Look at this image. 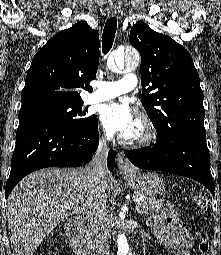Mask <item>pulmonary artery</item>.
<instances>
[{"label": "pulmonary artery", "instance_id": "pulmonary-artery-1", "mask_svg": "<svg viewBox=\"0 0 221 255\" xmlns=\"http://www.w3.org/2000/svg\"><path fill=\"white\" fill-rule=\"evenodd\" d=\"M136 85L137 77L133 73L125 74L118 81H99L95 84L97 90L89 96L87 102L98 103L112 99L134 90Z\"/></svg>", "mask_w": 221, "mask_h": 255}]
</instances>
